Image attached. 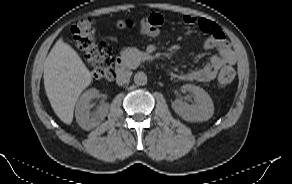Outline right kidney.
I'll return each mask as SVG.
<instances>
[{"instance_id": "ca27d5eb", "label": "right kidney", "mask_w": 292, "mask_h": 184, "mask_svg": "<svg viewBox=\"0 0 292 184\" xmlns=\"http://www.w3.org/2000/svg\"><path fill=\"white\" fill-rule=\"evenodd\" d=\"M99 96V91L95 88L84 92L76 104V121L85 130H90L99 125L108 113L109 105L102 104L97 109L90 111V101Z\"/></svg>"}]
</instances>
